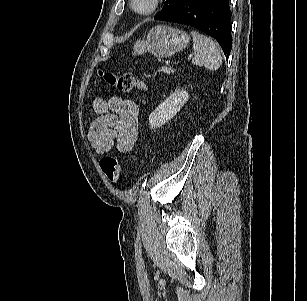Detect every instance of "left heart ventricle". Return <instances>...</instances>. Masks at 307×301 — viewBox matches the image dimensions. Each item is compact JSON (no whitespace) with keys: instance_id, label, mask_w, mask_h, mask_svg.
Segmentation results:
<instances>
[{"instance_id":"left-heart-ventricle-1","label":"left heart ventricle","mask_w":307,"mask_h":301,"mask_svg":"<svg viewBox=\"0 0 307 301\" xmlns=\"http://www.w3.org/2000/svg\"><path fill=\"white\" fill-rule=\"evenodd\" d=\"M151 4V0H137L135 3V6L139 9V10H145L147 8H149Z\"/></svg>"}]
</instances>
